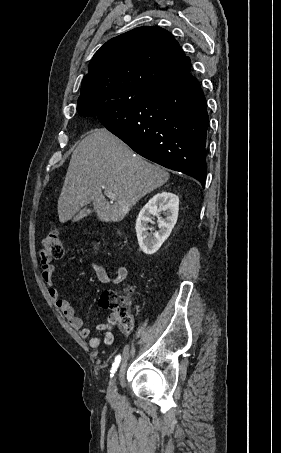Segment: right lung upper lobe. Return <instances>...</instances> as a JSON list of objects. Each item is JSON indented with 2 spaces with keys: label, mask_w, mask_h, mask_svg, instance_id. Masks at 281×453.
Segmentation results:
<instances>
[{
  "label": "right lung upper lobe",
  "mask_w": 281,
  "mask_h": 453,
  "mask_svg": "<svg viewBox=\"0 0 281 453\" xmlns=\"http://www.w3.org/2000/svg\"><path fill=\"white\" fill-rule=\"evenodd\" d=\"M191 71V61L170 32L157 26L135 28L106 42L83 78L77 111L129 101Z\"/></svg>",
  "instance_id": "1"
}]
</instances>
